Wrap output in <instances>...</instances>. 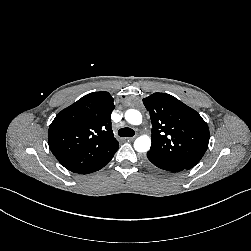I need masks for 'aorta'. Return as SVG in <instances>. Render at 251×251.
<instances>
[{"mask_svg":"<svg viewBox=\"0 0 251 251\" xmlns=\"http://www.w3.org/2000/svg\"><path fill=\"white\" fill-rule=\"evenodd\" d=\"M125 119L132 125H140L142 123V115L135 109H129L125 113ZM151 146V139L148 135H142L134 141V149L137 152H147Z\"/></svg>","mask_w":251,"mask_h":251,"instance_id":"762f6f07","label":"aorta"}]
</instances>
